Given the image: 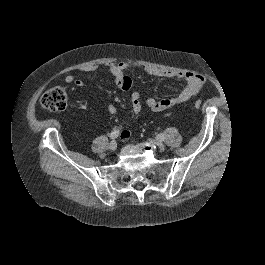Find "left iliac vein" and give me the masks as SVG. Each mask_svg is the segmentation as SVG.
<instances>
[{"label": "left iliac vein", "instance_id": "1", "mask_svg": "<svg viewBox=\"0 0 265 265\" xmlns=\"http://www.w3.org/2000/svg\"><path fill=\"white\" fill-rule=\"evenodd\" d=\"M151 143L153 145H157L160 148V150H164V148H165L164 144H162L161 142H159V140H157V141H151Z\"/></svg>", "mask_w": 265, "mask_h": 265}]
</instances>
